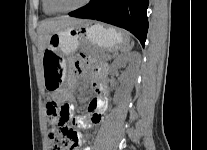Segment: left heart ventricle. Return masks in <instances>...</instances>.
<instances>
[{
  "mask_svg": "<svg viewBox=\"0 0 207 150\" xmlns=\"http://www.w3.org/2000/svg\"><path fill=\"white\" fill-rule=\"evenodd\" d=\"M83 0H55L58 7L69 9L79 5Z\"/></svg>",
  "mask_w": 207,
  "mask_h": 150,
  "instance_id": "1",
  "label": "left heart ventricle"
}]
</instances>
